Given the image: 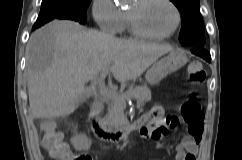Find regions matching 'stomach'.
<instances>
[{"mask_svg":"<svg viewBox=\"0 0 242 160\" xmlns=\"http://www.w3.org/2000/svg\"><path fill=\"white\" fill-rule=\"evenodd\" d=\"M187 61V56L182 51L173 50L167 56L153 63L148 69L145 79L147 83L155 85L168 74L184 66Z\"/></svg>","mask_w":242,"mask_h":160,"instance_id":"1","label":"stomach"}]
</instances>
